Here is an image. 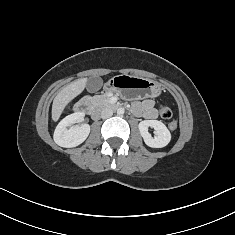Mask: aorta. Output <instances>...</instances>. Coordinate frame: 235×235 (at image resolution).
<instances>
[{"label":"aorta","instance_id":"762f6f07","mask_svg":"<svg viewBox=\"0 0 235 235\" xmlns=\"http://www.w3.org/2000/svg\"><path fill=\"white\" fill-rule=\"evenodd\" d=\"M117 114H118V115L124 114V108H118V109H117Z\"/></svg>","mask_w":235,"mask_h":235}]
</instances>
